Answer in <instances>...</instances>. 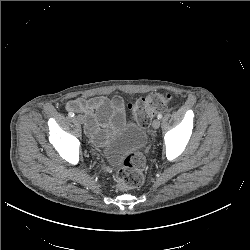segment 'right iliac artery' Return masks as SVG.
I'll return each mask as SVG.
<instances>
[{
    "instance_id": "right-iliac-artery-1",
    "label": "right iliac artery",
    "mask_w": 250,
    "mask_h": 250,
    "mask_svg": "<svg viewBox=\"0 0 250 250\" xmlns=\"http://www.w3.org/2000/svg\"><path fill=\"white\" fill-rule=\"evenodd\" d=\"M68 115H69V117H74L75 114L73 112H69Z\"/></svg>"
}]
</instances>
